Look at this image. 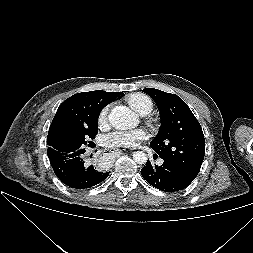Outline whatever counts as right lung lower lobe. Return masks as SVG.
<instances>
[{
    "label": "right lung lower lobe",
    "instance_id": "98d812e1",
    "mask_svg": "<svg viewBox=\"0 0 253 253\" xmlns=\"http://www.w3.org/2000/svg\"><path fill=\"white\" fill-rule=\"evenodd\" d=\"M84 152L48 156L56 176L74 189L90 188L109 175V172H101L95 165H87L83 160Z\"/></svg>",
    "mask_w": 253,
    "mask_h": 253
}]
</instances>
